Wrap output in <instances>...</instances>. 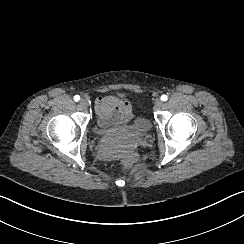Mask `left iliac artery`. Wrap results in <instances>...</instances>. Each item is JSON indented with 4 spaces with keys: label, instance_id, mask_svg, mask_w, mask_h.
Wrapping results in <instances>:
<instances>
[{
    "label": "left iliac artery",
    "instance_id": "1",
    "mask_svg": "<svg viewBox=\"0 0 244 244\" xmlns=\"http://www.w3.org/2000/svg\"><path fill=\"white\" fill-rule=\"evenodd\" d=\"M167 99H168V97H167L166 95H162V96H161V100H162V101H166Z\"/></svg>",
    "mask_w": 244,
    "mask_h": 244
}]
</instances>
